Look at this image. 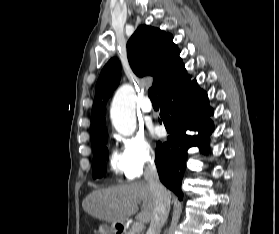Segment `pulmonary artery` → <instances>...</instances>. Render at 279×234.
I'll use <instances>...</instances> for the list:
<instances>
[{
    "label": "pulmonary artery",
    "instance_id": "obj_1",
    "mask_svg": "<svg viewBox=\"0 0 279 234\" xmlns=\"http://www.w3.org/2000/svg\"><path fill=\"white\" fill-rule=\"evenodd\" d=\"M140 109L143 113H151L153 111L152 103L148 97H145L140 104Z\"/></svg>",
    "mask_w": 279,
    "mask_h": 234
}]
</instances>
